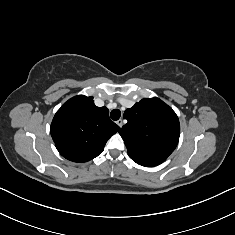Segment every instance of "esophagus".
I'll return each instance as SVG.
<instances>
[{
  "label": "esophagus",
  "instance_id": "obj_1",
  "mask_svg": "<svg viewBox=\"0 0 235 235\" xmlns=\"http://www.w3.org/2000/svg\"><path fill=\"white\" fill-rule=\"evenodd\" d=\"M116 123L119 127L123 126V120L122 119L117 120Z\"/></svg>",
  "mask_w": 235,
  "mask_h": 235
}]
</instances>
